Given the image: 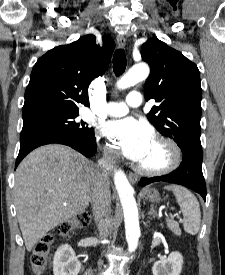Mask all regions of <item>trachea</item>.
<instances>
[{
	"label": "trachea",
	"mask_w": 225,
	"mask_h": 275,
	"mask_svg": "<svg viewBox=\"0 0 225 275\" xmlns=\"http://www.w3.org/2000/svg\"><path fill=\"white\" fill-rule=\"evenodd\" d=\"M126 63L125 51L123 49L116 50L113 56V70L116 76H120L124 73Z\"/></svg>",
	"instance_id": "trachea-1"
}]
</instances>
